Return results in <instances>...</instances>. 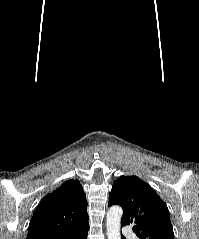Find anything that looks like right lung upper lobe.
Returning a JSON list of instances; mask_svg holds the SVG:
<instances>
[{
	"label": "right lung upper lobe",
	"instance_id": "obj_1",
	"mask_svg": "<svg viewBox=\"0 0 199 239\" xmlns=\"http://www.w3.org/2000/svg\"><path fill=\"white\" fill-rule=\"evenodd\" d=\"M87 201L78 180L70 179L46 195L34 212L27 239H51L88 224Z\"/></svg>",
	"mask_w": 199,
	"mask_h": 239
}]
</instances>
